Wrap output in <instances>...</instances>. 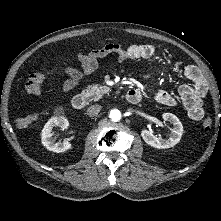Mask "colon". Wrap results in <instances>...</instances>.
<instances>
[{
	"label": "colon",
	"mask_w": 221,
	"mask_h": 221,
	"mask_svg": "<svg viewBox=\"0 0 221 221\" xmlns=\"http://www.w3.org/2000/svg\"><path fill=\"white\" fill-rule=\"evenodd\" d=\"M46 77L45 72H37L34 74H31L26 83H25V90L34 95H38L41 93L42 90V83ZM37 116L35 114L27 115L24 117H21L17 120V125L21 128L28 127L31 125L35 120ZM212 127V119L210 117H207L202 122V128L204 131H209Z\"/></svg>",
	"instance_id": "1"
}]
</instances>
